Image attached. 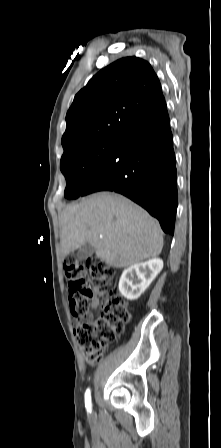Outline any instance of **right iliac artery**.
Listing matches in <instances>:
<instances>
[{
  "label": "right iliac artery",
  "instance_id": "82829eb1",
  "mask_svg": "<svg viewBox=\"0 0 221 448\" xmlns=\"http://www.w3.org/2000/svg\"><path fill=\"white\" fill-rule=\"evenodd\" d=\"M91 404V392L90 389H87L85 393V407L88 412H91Z\"/></svg>",
  "mask_w": 221,
  "mask_h": 448
}]
</instances>
